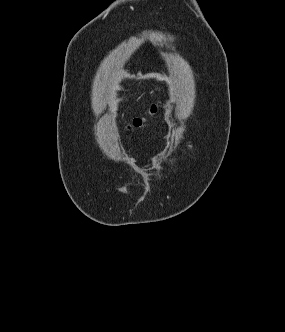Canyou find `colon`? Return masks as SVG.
<instances>
[{"label": "colon", "instance_id": "1", "mask_svg": "<svg viewBox=\"0 0 285 332\" xmlns=\"http://www.w3.org/2000/svg\"><path fill=\"white\" fill-rule=\"evenodd\" d=\"M156 111H157V106H156V105H153V106H151V108L149 109L148 113H149L150 115H153V114L156 113ZM143 122H144V118H142V117H137V118H135V119L132 121V123L130 124V127H131V128H139V127L142 126Z\"/></svg>", "mask_w": 285, "mask_h": 332}]
</instances>
